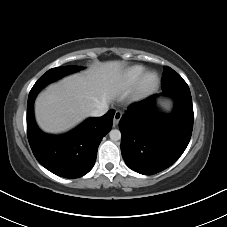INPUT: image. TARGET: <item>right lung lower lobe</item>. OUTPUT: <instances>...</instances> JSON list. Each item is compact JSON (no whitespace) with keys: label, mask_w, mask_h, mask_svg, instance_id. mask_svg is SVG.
<instances>
[{"label":"right lung lower lobe","mask_w":227,"mask_h":227,"mask_svg":"<svg viewBox=\"0 0 227 227\" xmlns=\"http://www.w3.org/2000/svg\"><path fill=\"white\" fill-rule=\"evenodd\" d=\"M38 92L29 93L27 136L38 162L52 173L65 178H79L94 166L98 146L110 131L115 111L90 118L73 131L59 136L43 133L35 123L33 106Z\"/></svg>","instance_id":"obj_1"}]
</instances>
